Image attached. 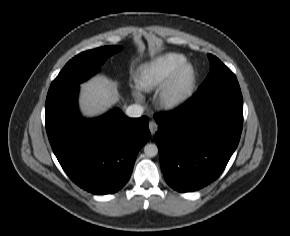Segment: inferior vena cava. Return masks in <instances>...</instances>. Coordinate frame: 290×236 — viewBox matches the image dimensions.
<instances>
[{"instance_id": "obj_1", "label": "inferior vena cava", "mask_w": 290, "mask_h": 236, "mask_svg": "<svg viewBox=\"0 0 290 236\" xmlns=\"http://www.w3.org/2000/svg\"><path fill=\"white\" fill-rule=\"evenodd\" d=\"M144 109L138 104H132L126 109V115L131 118H137L142 116Z\"/></svg>"}]
</instances>
